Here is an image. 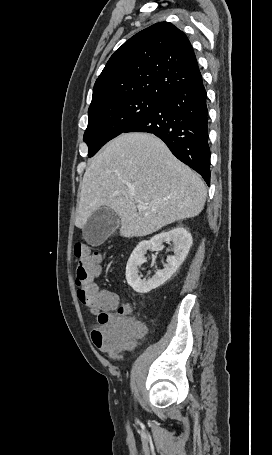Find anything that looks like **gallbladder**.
<instances>
[{
    "mask_svg": "<svg viewBox=\"0 0 272 455\" xmlns=\"http://www.w3.org/2000/svg\"><path fill=\"white\" fill-rule=\"evenodd\" d=\"M120 218L109 207H101L89 217L83 227L85 241L92 245L102 244L120 226Z\"/></svg>",
    "mask_w": 272,
    "mask_h": 455,
    "instance_id": "1",
    "label": "gallbladder"
}]
</instances>
